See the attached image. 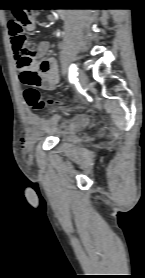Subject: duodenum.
I'll return each instance as SVG.
<instances>
[{
	"instance_id": "410a0bca",
	"label": "duodenum",
	"mask_w": 145,
	"mask_h": 278,
	"mask_svg": "<svg viewBox=\"0 0 145 278\" xmlns=\"http://www.w3.org/2000/svg\"><path fill=\"white\" fill-rule=\"evenodd\" d=\"M59 17L60 18H64L65 17V12L64 11H60L59 12Z\"/></svg>"
}]
</instances>
